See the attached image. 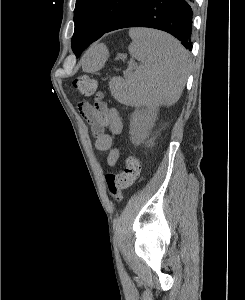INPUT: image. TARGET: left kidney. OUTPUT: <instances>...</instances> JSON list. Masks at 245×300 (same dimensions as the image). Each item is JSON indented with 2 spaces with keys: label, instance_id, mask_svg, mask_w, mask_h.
<instances>
[{
  "label": "left kidney",
  "instance_id": "1",
  "mask_svg": "<svg viewBox=\"0 0 245 300\" xmlns=\"http://www.w3.org/2000/svg\"><path fill=\"white\" fill-rule=\"evenodd\" d=\"M157 117L155 109L135 110L130 119V138L133 143H140L153 127Z\"/></svg>",
  "mask_w": 245,
  "mask_h": 300
}]
</instances>
